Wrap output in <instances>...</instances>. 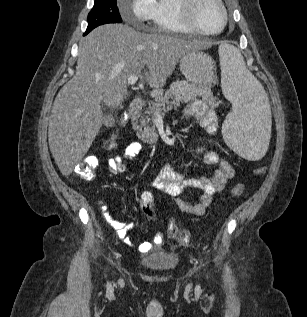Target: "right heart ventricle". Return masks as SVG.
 <instances>
[{
  "mask_svg": "<svg viewBox=\"0 0 307 317\" xmlns=\"http://www.w3.org/2000/svg\"><path fill=\"white\" fill-rule=\"evenodd\" d=\"M154 28L167 33H194L182 19L179 0H158Z\"/></svg>",
  "mask_w": 307,
  "mask_h": 317,
  "instance_id": "obj_1",
  "label": "right heart ventricle"
}]
</instances>
